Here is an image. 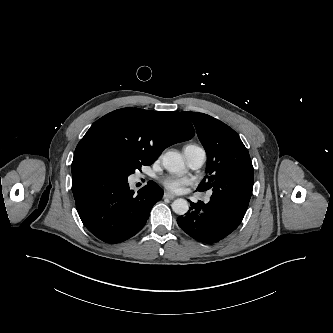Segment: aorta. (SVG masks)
I'll list each match as a JSON object with an SVG mask.
<instances>
[{"label":"aorta","instance_id":"obj_1","mask_svg":"<svg viewBox=\"0 0 333 333\" xmlns=\"http://www.w3.org/2000/svg\"><path fill=\"white\" fill-rule=\"evenodd\" d=\"M162 163L164 168L171 173H180L185 169V163L180 153L168 151L164 154ZM172 210L178 215H184L189 210L188 202L185 199L178 198L172 203Z\"/></svg>","mask_w":333,"mask_h":333}]
</instances>
